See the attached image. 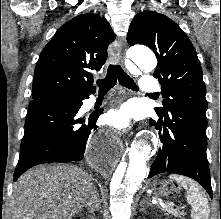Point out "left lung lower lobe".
<instances>
[{"instance_id": "1", "label": "left lung lower lobe", "mask_w": 221, "mask_h": 219, "mask_svg": "<svg viewBox=\"0 0 221 219\" xmlns=\"http://www.w3.org/2000/svg\"><path fill=\"white\" fill-rule=\"evenodd\" d=\"M153 124L159 130L162 147L151 166L148 178L164 172L184 175L200 183L212 198L206 156V116L175 107L169 115L160 117Z\"/></svg>"}]
</instances>
